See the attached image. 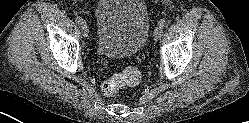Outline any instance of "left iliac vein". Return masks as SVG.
<instances>
[{"instance_id": "4c4485c4", "label": "left iliac vein", "mask_w": 249, "mask_h": 123, "mask_svg": "<svg viewBox=\"0 0 249 123\" xmlns=\"http://www.w3.org/2000/svg\"><path fill=\"white\" fill-rule=\"evenodd\" d=\"M162 33H163L162 27L160 26L156 27L153 33L154 39L158 41L161 38Z\"/></svg>"}]
</instances>
